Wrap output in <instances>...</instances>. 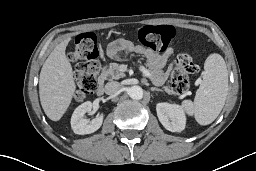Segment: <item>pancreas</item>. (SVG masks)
I'll return each mask as SVG.
<instances>
[{"mask_svg": "<svg viewBox=\"0 0 256 171\" xmlns=\"http://www.w3.org/2000/svg\"><path fill=\"white\" fill-rule=\"evenodd\" d=\"M163 75L164 73L161 70L152 71V77L153 76L162 77ZM123 77H125V74L119 70L118 63H111L110 66L101 73V78L106 80H113V79L118 80ZM163 89L168 94H176V92L169 86H164Z\"/></svg>", "mask_w": 256, "mask_h": 171, "instance_id": "pancreas-1", "label": "pancreas"}]
</instances>
